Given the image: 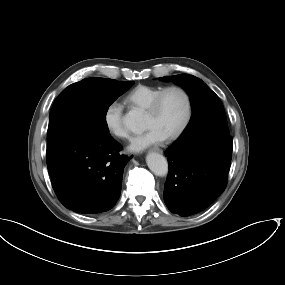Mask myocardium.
<instances>
[{"label":"myocardium","mask_w":285,"mask_h":285,"mask_svg":"<svg viewBox=\"0 0 285 285\" xmlns=\"http://www.w3.org/2000/svg\"><path fill=\"white\" fill-rule=\"evenodd\" d=\"M172 90H176L179 91L184 99H185V103H186V111H185V115L183 118L182 123L180 124V126L178 127V129L173 132L172 134L168 135L165 137V139L168 140H174L177 139L178 137H180L184 131L186 130L190 119H191V115H192V100L190 97V94L188 93V91L179 85H171V86H167L165 88H163L155 97L154 99L151 101V103L149 104V106L146 108V111L149 113H156L160 107V104L162 102L163 97L165 96L166 93H168L169 91Z\"/></svg>","instance_id":"myocardium-1"}]
</instances>
